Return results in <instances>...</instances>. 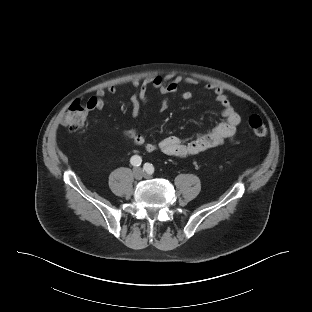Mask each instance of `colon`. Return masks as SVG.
Here are the masks:
<instances>
[{
	"mask_svg": "<svg viewBox=\"0 0 312 312\" xmlns=\"http://www.w3.org/2000/svg\"><path fill=\"white\" fill-rule=\"evenodd\" d=\"M88 113V108L85 104L80 101H74L66 110L62 118V125L70 130H79L83 128ZM248 126L255 136L264 137L267 134L266 125L258 115H252L249 118Z\"/></svg>",
	"mask_w": 312,
	"mask_h": 312,
	"instance_id": "1",
	"label": "colon"
}]
</instances>
